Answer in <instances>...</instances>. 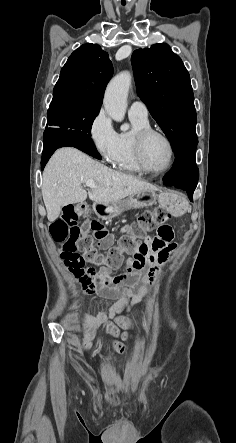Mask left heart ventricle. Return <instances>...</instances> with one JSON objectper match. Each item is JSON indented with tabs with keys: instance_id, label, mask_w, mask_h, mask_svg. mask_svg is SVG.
Here are the masks:
<instances>
[{
	"instance_id": "b2bd125f",
	"label": "left heart ventricle",
	"mask_w": 236,
	"mask_h": 443,
	"mask_svg": "<svg viewBox=\"0 0 236 443\" xmlns=\"http://www.w3.org/2000/svg\"><path fill=\"white\" fill-rule=\"evenodd\" d=\"M144 158L152 170L165 168L170 159V151L166 141L160 136H151L144 147Z\"/></svg>"
}]
</instances>
